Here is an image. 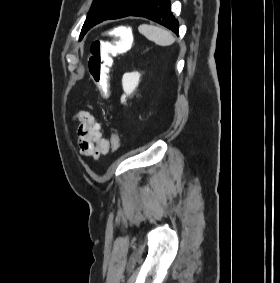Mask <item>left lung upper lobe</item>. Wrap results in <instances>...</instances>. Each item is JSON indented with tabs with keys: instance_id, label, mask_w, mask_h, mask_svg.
I'll return each mask as SVG.
<instances>
[{
	"instance_id": "1",
	"label": "left lung upper lobe",
	"mask_w": 280,
	"mask_h": 283,
	"mask_svg": "<svg viewBox=\"0 0 280 283\" xmlns=\"http://www.w3.org/2000/svg\"><path fill=\"white\" fill-rule=\"evenodd\" d=\"M146 0H94L84 22L80 39L93 26L107 19L126 17Z\"/></svg>"
}]
</instances>
